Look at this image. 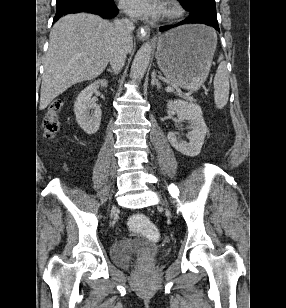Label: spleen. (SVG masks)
<instances>
[{
	"label": "spleen",
	"instance_id": "obj_1",
	"mask_svg": "<svg viewBox=\"0 0 286 308\" xmlns=\"http://www.w3.org/2000/svg\"><path fill=\"white\" fill-rule=\"evenodd\" d=\"M219 66L214 77V101L217 108L222 109L229 98V75L223 55L219 56Z\"/></svg>",
	"mask_w": 286,
	"mask_h": 308
}]
</instances>
